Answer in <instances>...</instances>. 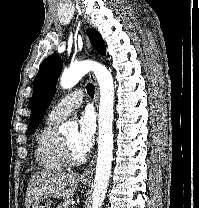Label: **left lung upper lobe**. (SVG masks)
<instances>
[{"label": "left lung upper lobe", "instance_id": "left-lung-upper-lobe-1", "mask_svg": "<svg viewBox=\"0 0 199 208\" xmlns=\"http://www.w3.org/2000/svg\"><path fill=\"white\" fill-rule=\"evenodd\" d=\"M87 35L93 47L102 55L106 54L105 43L100 33L95 29H87ZM61 58L53 54L47 57L40 65L38 74L33 83V95L31 97V115L28 131L32 134L40 125L46 108L55 95L57 79L62 71Z\"/></svg>", "mask_w": 199, "mask_h": 208}]
</instances>
